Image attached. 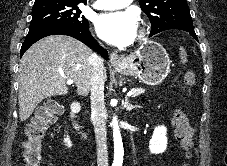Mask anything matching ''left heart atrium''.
<instances>
[{
  "label": "left heart atrium",
  "instance_id": "39dd6f15",
  "mask_svg": "<svg viewBox=\"0 0 227 166\" xmlns=\"http://www.w3.org/2000/svg\"><path fill=\"white\" fill-rule=\"evenodd\" d=\"M98 35L113 45H127L133 41L137 31V18L129 11L101 14L95 21Z\"/></svg>",
  "mask_w": 227,
  "mask_h": 166
}]
</instances>
